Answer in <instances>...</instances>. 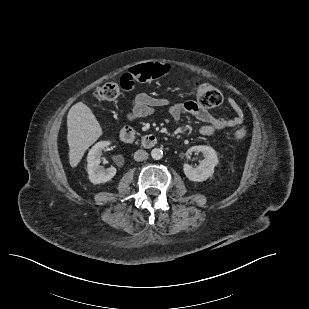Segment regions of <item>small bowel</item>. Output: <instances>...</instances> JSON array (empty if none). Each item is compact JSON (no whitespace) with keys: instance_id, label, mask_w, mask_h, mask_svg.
Here are the masks:
<instances>
[{"instance_id":"small-bowel-1","label":"small bowel","mask_w":309,"mask_h":309,"mask_svg":"<svg viewBox=\"0 0 309 309\" xmlns=\"http://www.w3.org/2000/svg\"><path fill=\"white\" fill-rule=\"evenodd\" d=\"M127 86L126 90L132 88L130 85ZM228 104L235 115L231 118H218L193 100L171 104L166 98L155 97L147 93H139L131 102V109L127 114V118L129 120H135L151 116L162 109H166L168 115L174 120H179L184 114H190L203 123L199 130L200 133L204 136H210L215 132L227 128H234L243 122V111L237 101L229 98Z\"/></svg>"}]
</instances>
